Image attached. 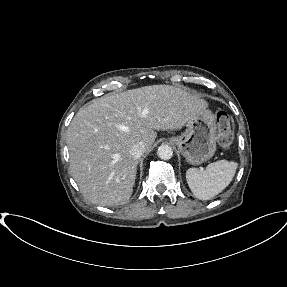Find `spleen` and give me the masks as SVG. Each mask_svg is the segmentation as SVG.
Returning <instances> with one entry per match:
<instances>
[{"label":"spleen","mask_w":287,"mask_h":287,"mask_svg":"<svg viewBox=\"0 0 287 287\" xmlns=\"http://www.w3.org/2000/svg\"><path fill=\"white\" fill-rule=\"evenodd\" d=\"M238 164L234 161L219 160L209 164L205 170L190 168L186 180L194 196L209 200L221 193L233 180Z\"/></svg>","instance_id":"obj_1"}]
</instances>
